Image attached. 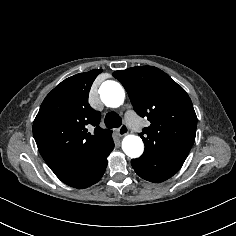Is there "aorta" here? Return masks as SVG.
<instances>
[{"label": "aorta", "mask_w": 236, "mask_h": 236, "mask_svg": "<svg viewBox=\"0 0 236 236\" xmlns=\"http://www.w3.org/2000/svg\"><path fill=\"white\" fill-rule=\"evenodd\" d=\"M99 94L102 102L107 107L117 108L121 106L125 99V92L122 86L115 81H105L102 83ZM122 150L131 157H140L144 151L142 139L136 135H127L122 141Z\"/></svg>", "instance_id": "aorta-1"}]
</instances>
